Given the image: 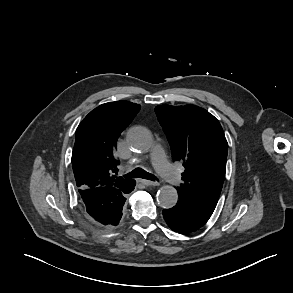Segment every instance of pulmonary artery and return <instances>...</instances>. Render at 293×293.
<instances>
[{
	"instance_id": "e3ab8cb5",
	"label": "pulmonary artery",
	"mask_w": 293,
	"mask_h": 293,
	"mask_svg": "<svg viewBox=\"0 0 293 293\" xmlns=\"http://www.w3.org/2000/svg\"><path fill=\"white\" fill-rule=\"evenodd\" d=\"M151 158L156 170L162 178H164L171 184H175L180 180V177L175 169L167 161L164 149L161 145L156 144L153 147Z\"/></svg>"
}]
</instances>
